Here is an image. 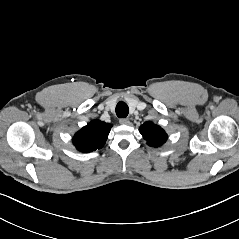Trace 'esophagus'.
I'll return each instance as SVG.
<instances>
[{
  "mask_svg": "<svg viewBox=\"0 0 239 239\" xmlns=\"http://www.w3.org/2000/svg\"><path fill=\"white\" fill-rule=\"evenodd\" d=\"M119 122L122 125H128L130 123V120L128 118H121Z\"/></svg>",
  "mask_w": 239,
  "mask_h": 239,
  "instance_id": "34e87169",
  "label": "esophagus"
}]
</instances>
